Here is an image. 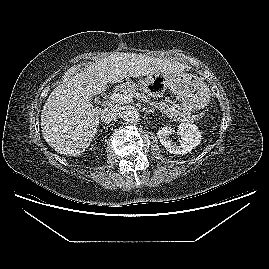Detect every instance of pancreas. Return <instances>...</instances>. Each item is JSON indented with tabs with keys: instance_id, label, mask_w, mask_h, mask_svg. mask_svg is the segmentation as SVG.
Listing matches in <instances>:
<instances>
[{
	"instance_id": "obj_1",
	"label": "pancreas",
	"mask_w": 269,
	"mask_h": 269,
	"mask_svg": "<svg viewBox=\"0 0 269 269\" xmlns=\"http://www.w3.org/2000/svg\"><path fill=\"white\" fill-rule=\"evenodd\" d=\"M123 92L142 101L148 100V97L144 93L142 92L140 93L138 91L135 84L126 85L125 87H123ZM156 106L160 108L162 113H164L165 115H167L169 118L173 120L187 121V119L179 115V112L176 109H174L173 107H170L168 105V102H158L156 103Z\"/></svg>"
}]
</instances>
